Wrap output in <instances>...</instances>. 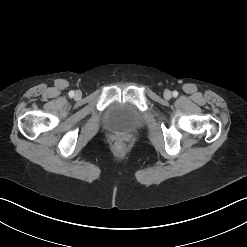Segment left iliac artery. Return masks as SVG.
<instances>
[{
	"mask_svg": "<svg viewBox=\"0 0 247 247\" xmlns=\"http://www.w3.org/2000/svg\"><path fill=\"white\" fill-rule=\"evenodd\" d=\"M173 96L177 97L178 96V92L177 91H173Z\"/></svg>",
	"mask_w": 247,
	"mask_h": 247,
	"instance_id": "1",
	"label": "left iliac artery"
}]
</instances>
